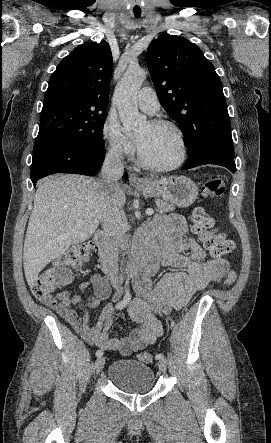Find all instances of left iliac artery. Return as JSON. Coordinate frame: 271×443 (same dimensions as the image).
Here are the masks:
<instances>
[{
	"label": "left iliac artery",
	"mask_w": 271,
	"mask_h": 443,
	"mask_svg": "<svg viewBox=\"0 0 271 443\" xmlns=\"http://www.w3.org/2000/svg\"><path fill=\"white\" fill-rule=\"evenodd\" d=\"M155 358H156L157 360H160V359H163V358H164V355H163L162 353H159V354H157V355L155 356Z\"/></svg>",
	"instance_id": "obj_1"
}]
</instances>
